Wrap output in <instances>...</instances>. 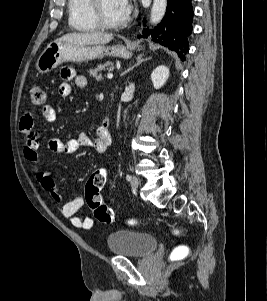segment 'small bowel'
<instances>
[{
	"mask_svg": "<svg viewBox=\"0 0 267 301\" xmlns=\"http://www.w3.org/2000/svg\"><path fill=\"white\" fill-rule=\"evenodd\" d=\"M61 79L58 92L61 97H69L72 93V88L68 81L74 79L75 84L80 89H85L89 86L88 79L85 76H75V72L71 68H64L61 71ZM40 117L43 121L51 123L56 118L54 108L45 106L40 111ZM20 131L25 136V144L23 154L31 163L35 177L40 186L49 194L50 198L55 202L61 201L60 193L55 185L51 175L44 171L38 155L40 146V137L34 129V117L31 113H26L20 119ZM111 144L109 131L103 126H99L91 140L87 134L79 133L76 137L62 141L59 138H49L47 140L48 149L54 153L72 154L82 147H91L98 153H103ZM84 200L81 196H76L73 199L65 202L61 206V214L70 220L71 224L76 228L90 229L93 226V220L89 217L81 218L77 216V212L83 206Z\"/></svg>",
	"mask_w": 267,
	"mask_h": 301,
	"instance_id": "small-bowel-1",
	"label": "small bowel"
}]
</instances>
